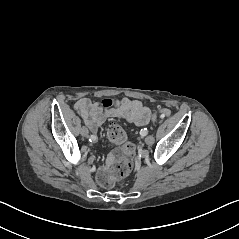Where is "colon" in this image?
Returning <instances> with one entry per match:
<instances>
[{
  "mask_svg": "<svg viewBox=\"0 0 239 239\" xmlns=\"http://www.w3.org/2000/svg\"><path fill=\"white\" fill-rule=\"evenodd\" d=\"M101 104L106 107L111 104V101L106 99ZM156 112L161 117H169L171 114L169 109L163 107L156 108ZM107 136L119 148L108 157L106 164L100 168L97 180L103 186H115L125 180L132 168L134 147L127 141L126 132L119 124H111L107 129Z\"/></svg>",
  "mask_w": 239,
  "mask_h": 239,
  "instance_id": "obj_1",
  "label": "colon"
}]
</instances>
